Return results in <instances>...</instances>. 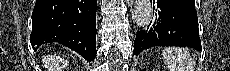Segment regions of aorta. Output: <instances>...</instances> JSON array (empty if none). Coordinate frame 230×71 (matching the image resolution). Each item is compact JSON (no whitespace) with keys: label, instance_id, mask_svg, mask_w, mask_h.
<instances>
[{"label":"aorta","instance_id":"aorta-1","mask_svg":"<svg viewBox=\"0 0 230 71\" xmlns=\"http://www.w3.org/2000/svg\"><path fill=\"white\" fill-rule=\"evenodd\" d=\"M153 18V8L150 0H136L134 19L140 28H147Z\"/></svg>","mask_w":230,"mask_h":71}]
</instances>
